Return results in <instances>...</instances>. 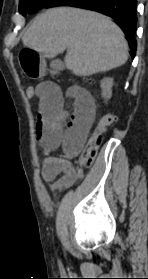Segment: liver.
Segmentation results:
<instances>
[{
  "label": "liver",
  "instance_id": "1",
  "mask_svg": "<svg viewBox=\"0 0 148 279\" xmlns=\"http://www.w3.org/2000/svg\"><path fill=\"white\" fill-rule=\"evenodd\" d=\"M22 42L49 58L67 49L66 68L77 76L109 71L128 59L124 34L109 17L72 7L51 8L37 16Z\"/></svg>",
  "mask_w": 148,
  "mask_h": 279
}]
</instances>
